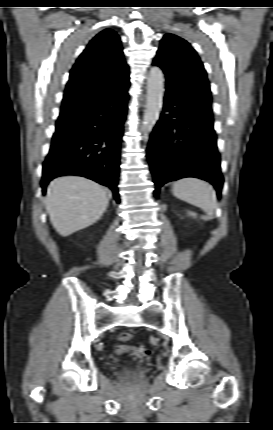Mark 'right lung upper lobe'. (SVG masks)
Listing matches in <instances>:
<instances>
[{
	"mask_svg": "<svg viewBox=\"0 0 273 430\" xmlns=\"http://www.w3.org/2000/svg\"><path fill=\"white\" fill-rule=\"evenodd\" d=\"M129 84L120 38L113 30L105 29L89 42L73 66L61 113L79 114L100 88Z\"/></svg>",
	"mask_w": 273,
	"mask_h": 430,
	"instance_id": "right-lung-upper-lobe-1",
	"label": "right lung upper lobe"
}]
</instances>
